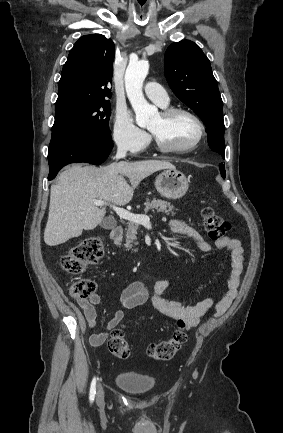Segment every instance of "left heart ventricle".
I'll return each instance as SVG.
<instances>
[{
	"mask_svg": "<svg viewBox=\"0 0 283 433\" xmlns=\"http://www.w3.org/2000/svg\"><path fill=\"white\" fill-rule=\"evenodd\" d=\"M151 132L173 147L182 148L190 144L198 135V126L193 118L186 114H179L169 123L162 121L161 115L149 126Z\"/></svg>",
	"mask_w": 283,
	"mask_h": 433,
	"instance_id": "1",
	"label": "left heart ventricle"
}]
</instances>
